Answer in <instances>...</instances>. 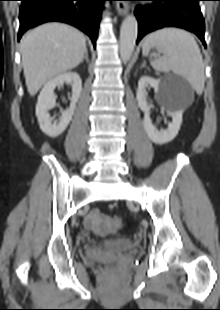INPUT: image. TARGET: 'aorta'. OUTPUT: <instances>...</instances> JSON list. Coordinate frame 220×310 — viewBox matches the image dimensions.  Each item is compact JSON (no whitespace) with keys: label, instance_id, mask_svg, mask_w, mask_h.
<instances>
[{"label":"aorta","instance_id":"aorta-1","mask_svg":"<svg viewBox=\"0 0 220 310\" xmlns=\"http://www.w3.org/2000/svg\"><path fill=\"white\" fill-rule=\"evenodd\" d=\"M138 22L134 15H128L120 29V57L123 61H129L137 39Z\"/></svg>","mask_w":220,"mask_h":310}]
</instances>
